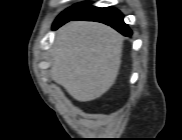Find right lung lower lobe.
<instances>
[{
  "label": "right lung lower lobe",
  "mask_w": 182,
  "mask_h": 140,
  "mask_svg": "<svg viewBox=\"0 0 182 140\" xmlns=\"http://www.w3.org/2000/svg\"><path fill=\"white\" fill-rule=\"evenodd\" d=\"M70 20H87L101 22L113 27L125 36H130L132 34L129 27L123 21L122 13L119 10L111 7L98 8L89 6L79 13L67 18L66 20L54 24L53 29L58 28L59 26Z\"/></svg>",
  "instance_id": "98d812e1"
}]
</instances>
